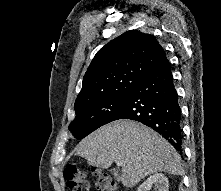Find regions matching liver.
<instances>
[{
	"label": "liver",
	"instance_id": "1",
	"mask_svg": "<svg viewBox=\"0 0 221 191\" xmlns=\"http://www.w3.org/2000/svg\"><path fill=\"white\" fill-rule=\"evenodd\" d=\"M76 154L97 167L121 163L120 180L129 188L157 172L182 173L180 156L172 145L151 128L126 119L88 135L77 146Z\"/></svg>",
	"mask_w": 221,
	"mask_h": 191
}]
</instances>
